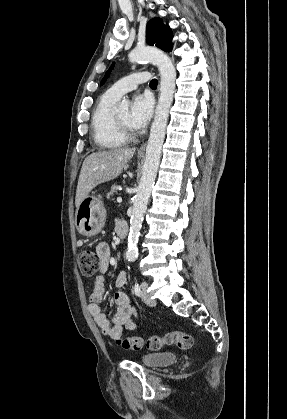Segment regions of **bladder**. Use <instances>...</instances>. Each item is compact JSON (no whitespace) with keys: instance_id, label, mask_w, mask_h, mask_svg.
<instances>
[{"instance_id":"bladder-1","label":"bladder","mask_w":287,"mask_h":419,"mask_svg":"<svg viewBox=\"0 0 287 419\" xmlns=\"http://www.w3.org/2000/svg\"><path fill=\"white\" fill-rule=\"evenodd\" d=\"M176 356L172 353L147 354L141 358L142 364L148 367L166 366L175 363Z\"/></svg>"}]
</instances>
